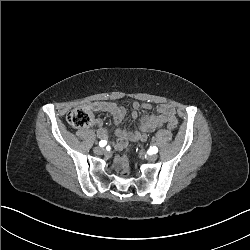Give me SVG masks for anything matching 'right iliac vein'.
<instances>
[{
  "mask_svg": "<svg viewBox=\"0 0 250 250\" xmlns=\"http://www.w3.org/2000/svg\"><path fill=\"white\" fill-rule=\"evenodd\" d=\"M104 151H105L104 148H101V147H95L94 148V152L96 154H102Z\"/></svg>",
  "mask_w": 250,
  "mask_h": 250,
  "instance_id": "obj_1",
  "label": "right iliac vein"
}]
</instances>
